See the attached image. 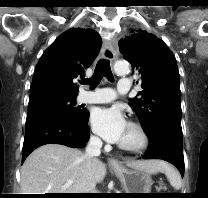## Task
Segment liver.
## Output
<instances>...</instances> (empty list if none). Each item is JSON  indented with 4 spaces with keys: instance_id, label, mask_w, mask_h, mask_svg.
Here are the masks:
<instances>
[{
    "instance_id": "liver-1",
    "label": "liver",
    "mask_w": 208,
    "mask_h": 198,
    "mask_svg": "<svg viewBox=\"0 0 208 198\" xmlns=\"http://www.w3.org/2000/svg\"><path fill=\"white\" fill-rule=\"evenodd\" d=\"M126 165L149 174L162 171L157 160L127 161ZM106 175V165L99 159L86 166L85 154L60 144H46L33 151L21 168L22 194L87 193L89 180L100 183ZM73 183L65 187L67 181Z\"/></svg>"
}]
</instances>
